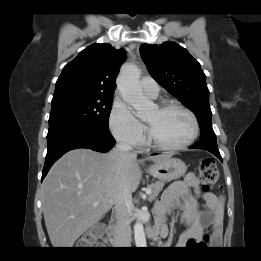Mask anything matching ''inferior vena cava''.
<instances>
[{
  "mask_svg": "<svg viewBox=\"0 0 261 261\" xmlns=\"http://www.w3.org/2000/svg\"><path fill=\"white\" fill-rule=\"evenodd\" d=\"M121 158L136 159L137 154L132 151V147L125 143L119 142L115 149ZM132 204L131 193L125 186H122L114 202L115 214V245L119 247L131 246V228H130V206Z\"/></svg>",
  "mask_w": 261,
  "mask_h": 261,
  "instance_id": "inferior-vena-cava-1",
  "label": "inferior vena cava"
}]
</instances>
